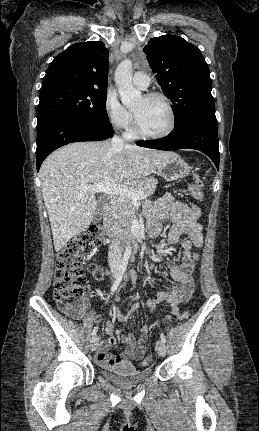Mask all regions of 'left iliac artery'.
I'll return each instance as SVG.
<instances>
[{
  "label": "left iliac artery",
  "instance_id": "obj_1",
  "mask_svg": "<svg viewBox=\"0 0 259 431\" xmlns=\"http://www.w3.org/2000/svg\"><path fill=\"white\" fill-rule=\"evenodd\" d=\"M160 338L162 341L166 342V337L163 333L160 334Z\"/></svg>",
  "mask_w": 259,
  "mask_h": 431
}]
</instances>
